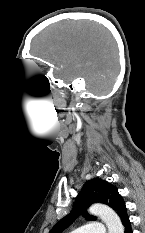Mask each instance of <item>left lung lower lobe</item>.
I'll return each mask as SVG.
<instances>
[{"label":"left lung lower lobe","mask_w":145,"mask_h":233,"mask_svg":"<svg viewBox=\"0 0 145 233\" xmlns=\"http://www.w3.org/2000/svg\"><path fill=\"white\" fill-rule=\"evenodd\" d=\"M124 230V233H132L131 223L129 220L124 224Z\"/></svg>","instance_id":"left-lung-lower-lobe-1"}]
</instances>
